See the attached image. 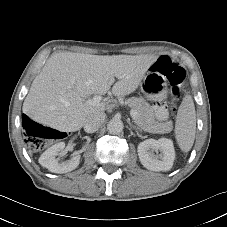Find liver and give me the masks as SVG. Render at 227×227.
Here are the masks:
<instances>
[{
	"instance_id": "1",
	"label": "liver",
	"mask_w": 227,
	"mask_h": 227,
	"mask_svg": "<svg viewBox=\"0 0 227 227\" xmlns=\"http://www.w3.org/2000/svg\"><path fill=\"white\" fill-rule=\"evenodd\" d=\"M154 55L53 54L32 82L22 110L34 121L62 132L80 130L85 120L111 108V100L91 105V95L124 97L140 85Z\"/></svg>"
}]
</instances>
